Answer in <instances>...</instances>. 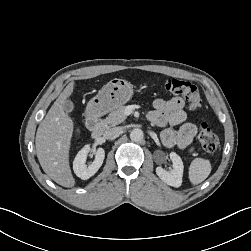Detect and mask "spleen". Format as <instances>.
<instances>
[{"instance_id":"spleen-1","label":"spleen","mask_w":251,"mask_h":251,"mask_svg":"<svg viewBox=\"0 0 251 251\" xmlns=\"http://www.w3.org/2000/svg\"><path fill=\"white\" fill-rule=\"evenodd\" d=\"M211 172V164L208 160L196 158L189 167V179L194 185L204 181Z\"/></svg>"}]
</instances>
